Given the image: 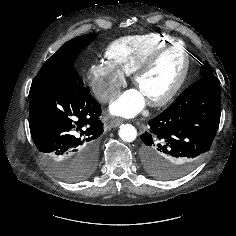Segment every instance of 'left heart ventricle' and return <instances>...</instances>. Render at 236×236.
Listing matches in <instances>:
<instances>
[{
	"label": "left heart ventricle",
	"instance_id": "b2bd125f",
	"mask_svg": "<svg viewBox=\"0 0 236 236\" xmlns=\"http://www.w3.org/2000/svg\"><path fill=\"white\" fill-rule=\"evenodd\" d=\"M183 64L182 47L177 45L163 54L138 81L137 88L146 99L166 93L177 80Z\"/></svg>",
	"mask_w": 236,
	"mask_h": 236
}]
</instances>
